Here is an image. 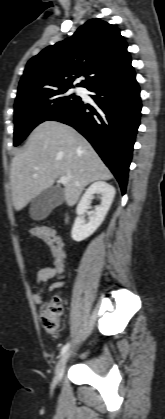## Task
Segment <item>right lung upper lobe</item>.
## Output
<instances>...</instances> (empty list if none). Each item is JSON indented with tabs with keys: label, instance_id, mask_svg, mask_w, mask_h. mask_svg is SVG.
<instances>
[{
	"label": "right lung upper lobe",
	"instance_id": "1",
	"mask_svg": "<svg viewBox=\"0 0 165 419\" xmlns=\"http://www.w3.org/2000/svg\"><path fill=\"white\" fill-rule=\"evenodd\" d=\"M131 62L127 44L114 25L91 19L68 39L43 49L31 58L20 80L16 101L35 93L77 86L89 88Z\"/></svg>",
	"mask_w": 165,
	"mask_h": 419
}]
</instances>
